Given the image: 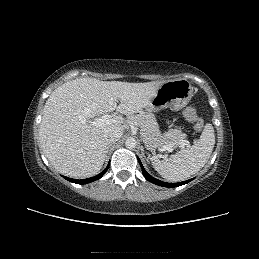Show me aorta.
<instances>
[{"mask_svg":"<svg viewBox=\"0 0 259 259\" xmlns=\"http://www.w3.org/2000/svg\"><path fill=\"white\" fill-rule=\"evenodd\" d=\"M125 146L126 148L128 149H133L136 147V140L132 137L128 138L126 141H125Z\"/></svg>","mask_w":259,"mask_h":259,"instance_id":"1","label":"aorta"}]
</instances>
